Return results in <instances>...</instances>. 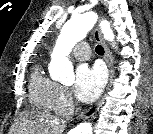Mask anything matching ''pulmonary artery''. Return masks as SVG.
Returning <instances> with one entry per match:
<instances>
[{"instance_id":"e3ab8cb5","label":"pulmonary artery","mask_w":153,"mask_h":134,"mask_svg":"<svg viewBox=\"0 0 153 134\" xmlns=\"http://www.w3.org/2000/svg\"><path fill=\"white\" fill-rule=\"evenodd\" d=\"M73 55L79 60H86L90 56V49L87 43L78 44L74 50Z\"/></svg>"}]
</instances>
